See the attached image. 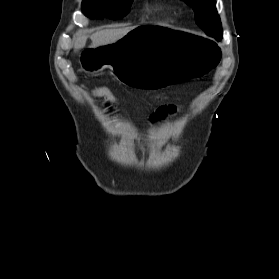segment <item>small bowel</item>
<instances>
[{
    "mask_svg": "<svg viewBox=\"0 0 279 279\" xmlns=\"http://www.w3.org/2000/svg\"><path fill=\"white\" fill-rule=\"evenodd\" d=\"M105 107L108 111H111V102L106 101ZM177 107L174 104H161L156 108V110L151 114L150 121L156 122L163 120L166 117L176 113Z\"/></svg>",
    "mask_w": 279,
    "mask_h": 279,
    "instance_id": "c3829d8e",
    "label": "small bowel"
}]
</instances>
